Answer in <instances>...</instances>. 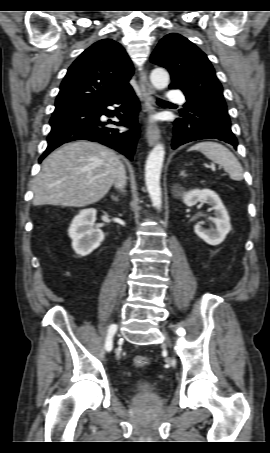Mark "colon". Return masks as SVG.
I'll use <instances>...</instances> for the list:
<instances>
[{
  "label": "colon",
  "instance_id": "5ec220e1",
  "mask_svg": "<svg viewBox=\"0 0 270 453\" xmlns=\"http://www.w3.org/2000/svg\"><path fill=\"white\" fill-rule=\"evenodd\" d=\"M150 364V359L145 355H137L134 358V365L137 368H145Z\"/></svg>",
  "mask_w": 270,
  "mask_h": 453
}]
</instances>
